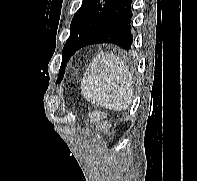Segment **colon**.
Segmentation results:
<instances>
[{
  "label": "colon",
  "instance_id": "5ec220e1",
  "mask_svg": "<svg viewBox=\"0 0 197 181\" xmlns=\"http://www.w3.org/2000/svg\"><path fill=\"white\" fill-rule=\"evenodd\" d=\"M90 118L92 121L100 124L102 127H104L103 121H104V114L102 112L96 111L90 114Z\"/></svg>",
  "mask_w": 197,
  "mask_h": 181
}]
</instances>
